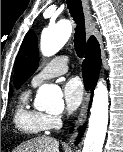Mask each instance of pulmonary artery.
Returning a JSON list of instances; mask_svg holds the SVG:
<instances>
[{"label":"pulmonary artery","instance_id":"1","mask_svg":"<svg viewBox=\"0 0 123 152\" xmlns=\"http://www.w3.org/2000/svg\"><path fill=\"white\" fill-rule=\"evenodd\" d=\"M68 71L67 56L60 55L48 62L36 75L33 76L31 84L33 87L39 86L56 76L62 75Z\"/></svg>","mask_w":123,"mask_h":152}]
</instances>
